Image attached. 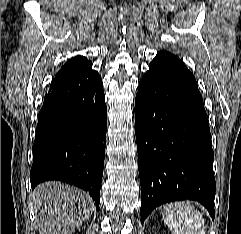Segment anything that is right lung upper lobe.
<instances>
[{
	"instance_id": "cb5924a9",
	"label": "right lung upper lobe",
	"mask_w": 241,
	"mask_h": 234,
	"mask_svg": "<svg viewBox=\"0 0 241 234\" xmlns=\"http://www.w3.org/2000/svg\"><path fill=\"white\" fill-rule=\"evenodd\" d=\"M91 63L83 56H75L72 59L68 60L62 68L59 70V72L56 74L55 77L68 74L70 72H73L81 67H84L85 65Z\"/></svg>"
}]
</instances>
